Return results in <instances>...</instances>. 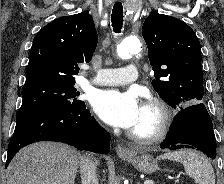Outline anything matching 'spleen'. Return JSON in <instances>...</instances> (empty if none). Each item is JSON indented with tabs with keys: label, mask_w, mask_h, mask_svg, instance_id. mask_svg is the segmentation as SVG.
I'll list each match as a JSON object with an SVG mask.
<instances>
[{
	"label": "spleen",
	"mask_w": 224,
	"mask_h": 184,
	"mask_svg": "<svg viewBox=\"0 0 224 184\" xmlns=\"http://www.w3.org/2000/svg\"><path fill=\"white\" fill-rule=\"evenodd\" d=\"M158 159H169L182 163L185 172L194 179L196 184H215V174L211 164L195 151L168 152L159 156Z\"/></svg>",
	"instance_id": "1"
}]
</instances>
